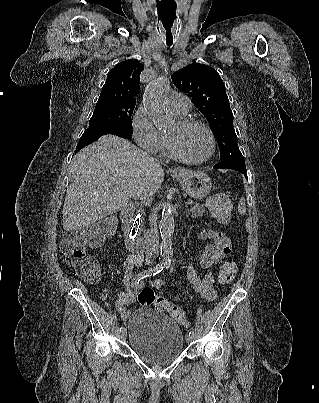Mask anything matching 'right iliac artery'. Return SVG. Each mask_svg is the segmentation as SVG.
<instances>
[{"label": "right iliac artery", "instance_id": "1", "mask_svg": "<svg viewBox=\"0 0 319 403\" xmlns=\"http://www.w3.org/2000/svg\"><path fill=\"white\" fill-rule=\"evenodd\" d=\"M165 264L166 263H164V262L158 263L155 267L142 271L141 273L136 275L132 280V287H137L139 282L142 279L160 273L163 270V268L165 267ZM123 330H125V328L121 327L120 332H122Z\"/></svg>", "mask_w": 319, "mask_h": 403}]
</instances>
